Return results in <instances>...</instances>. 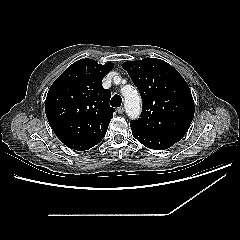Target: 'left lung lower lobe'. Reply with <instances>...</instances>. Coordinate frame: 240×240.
<instances>
[{
    "label": "left lung lower lobe",
    "mask_w": 240,
    "mask_h": 240,
    "mask_svg": "<svg viewBox=\"0 0 240 240\" xmlns=\"http://www.w3.org/2000/svg\"><path fill=\"white\" fill-rule=\"evenodd\" d=\"M132 134L144 146L154 150L167 149L184 136L180 134H146L133 129Z\"/></svg>",
    "instance_id": "left-lung-lower-lobe-1"
}]
</instances>
